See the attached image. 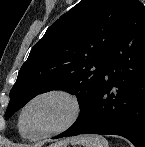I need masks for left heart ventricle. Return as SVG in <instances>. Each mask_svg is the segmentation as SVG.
<instances>
[{
  "label": "left heart ventricle",
  "instance_id": "1",
  "mask_svg": "<svg viewBox=\"0 0 145 147\" xmlns=\"http://www.w3.org/2000/svg\"><path fill=\"white\" fill-rule=\"evenodd\" d=\"M71 107L59 97L41 99L25 113L23 127L27 133H41L61 126L69 118Z\"/></svg>",
  "mask_w": 145,
  "mask_h": 147
}]
</instances>
